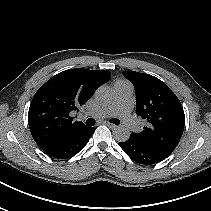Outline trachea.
I'll return each mask as SVG.
<instances>
[{"mask_svg":"<svg viewBox=\"0 0 211 211\" xmlns=\"http://www.w3.org/2000/svg\"><path fill=\"white\" fill-rule=\"evenodd\" d=\"M110 122H111V123H114V124H116V125L120 124V120L117 119V118H112V119H110ZM94 124H95V120H94V119L89 118V119L86 120V125H88V126H93Z\"/></svg>","mask_w":211,"mask_h":211,"instance_id":"1","label":"trachea"}]
</instances>
